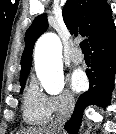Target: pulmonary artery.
I'll return each instance as SVG.
<instances>
[{
    "label": "pulmonary artery",
    "mask_w": 116,
    "mask_h": 134,
    "mask_svg": "<svg viewBox=\"0 0 116 134\" xmlns=\"http://www.w3.org/2000/svg\"><path fill=\"white\" fill-rule=\"evenodd\" d=\"M69 58L75 64H80V63L83 62V56L81 54H79L77 50H75L74 52H72L70 54Z\"/></svg>",
    "instance_id": "pulmonary-artery-1"
}]
</instances>
